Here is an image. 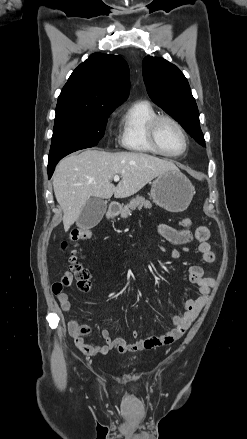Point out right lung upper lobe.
Instances as JSON below:
<instances>
[{
    "instance_id": "1",
    "label": "right lung upper lobe",
    "mask_w": 247,
    "mask_h": 439,
    "mask_svg": "<svg viewBox=\"0 0 247 439\" xmlns=\"http://www.w3.org/2000/svg\"><path fill=\"white\" fill-rule=\"evenodd\" d=\"M129 68L115 55L92 54L71 74L56 108L115 109L128 98Z\"/></svg>"
}]
</instances>
